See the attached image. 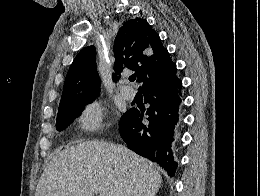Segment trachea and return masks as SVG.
Instances as JSON below:
<instances>
[{
    "label": "trachea",
    "mask_w": 260,
    "mask_h": 196,
    "mask_svg": "<svg viewBox=\"0 0 260 196\" xmlns=\"http://www.w3.org/2000/svg\"><path fill=\"white\" fill-rule=\"evenodd\" d=\"M135 79H136V75L135 74L129 76V81H135Z\"/></svg>",
    "instance_id": "trachea-1"
}]
</instances>
